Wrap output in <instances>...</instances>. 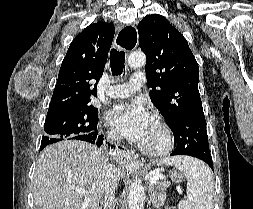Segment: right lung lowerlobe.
<instances>
[{"mask_svg": "<svg viewBox=\"0 0 253 209\" xmlns=\"http://www.w3.org/2000/svg\"><path fill=\"white\" fill-rule=\"evenodd\" d=\"M97 125L95 126V130L92 133H89L87 135H79L75 139L87 141L93 144H97V146H100L103 143L102 135L98 136Z\"/></svg>", "mask_w": 253, "mask_h": 209, "instance_id": "obj_1", "label": "right lung lower lobe"}]
</instances>
